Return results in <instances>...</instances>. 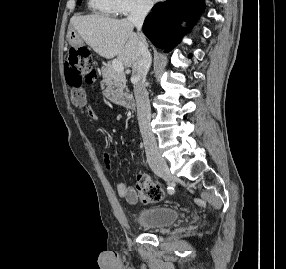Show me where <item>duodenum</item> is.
<instances>
[{
	"instance_id": "410a0bca",
	"label": "duodenum",
	"mask_w": 286,
	"mask_h": 269,
	"mask_svg": "<svg viewBox=\"0 0 286 269\" xmlns=\"http://www.w3.org/2000/svg\"><path fill=\"white\" fill-rule=\"evenodd\" d=\"M120 105H122L126 108L133 109V108H135V101L131 97H123L120 101Z\"/></svg>"
}]
</instances>
